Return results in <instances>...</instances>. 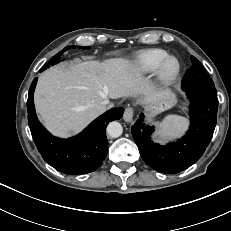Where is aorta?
<instances>
[{
    "label": "aorta",
    "mask_w": 231,
    "mask_h": 231,
    "mask_svg": "<svg viewBox=\"0 0 231 231\" xmlns=\"http://www.w3.org/2000/svg\"><path fill=\"white\" fill-rule=\"evenodd\" d=\"M123 127L117 121H112L107 126V134L110 137L117 138L122 135Z\"/></svg>",
    "instance_id": "1"
}]
</instances>
